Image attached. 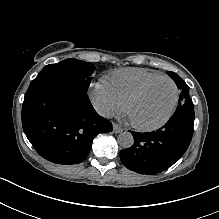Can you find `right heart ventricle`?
<instances>
[{"instance_id":"obj_1","label":"right heart ventricle","mask_w":219,"mask_h":219,"mask_svg":"<svg viewBox=\"0 0 219 219\" xmlns=\"http://www.w3.org/2000/svg\"><path fill=\"white\" fill-rule=\"evenodd\" d=\"M162 76L158 72L145 69L124 68L110 73L105 83L118 101L124 105L127 99L143 85Z\"/></svg>"}]
</instances>
